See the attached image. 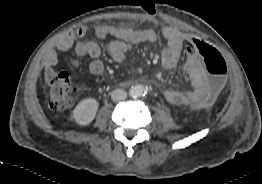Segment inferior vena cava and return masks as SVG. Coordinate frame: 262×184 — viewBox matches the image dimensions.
Listing matches in <instances>:
<instances>
[{
	"instance_id": "obj_1",
	"label": "inferior vena cava",
	"mask_w": 262,
	"mask_h": 184,
	"mask_svg": "<svg viewBox=\"0 0 262 184\" xmlns=\"http://www.w3.org/2000/svg\"><path fill=\"white\" fill-rule=\"evenodd\" d=\"M127 93L125 90L122 89H116L111 93V99L115 102L122 101L126 99Z\"/></svg>"
}]
</instances>
